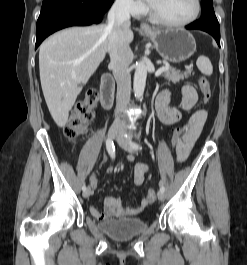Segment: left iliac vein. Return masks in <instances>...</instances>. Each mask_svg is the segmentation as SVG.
Listing matches in <instances>:
<instances>
[{"mask_svg": "<svg viewBox=\"0 0 247 265\" xmlns=\"http://www.w3.org/2000/svg\"><path fill=\"white\" fill-rule=\"evenodd\" d=\"M118 144L127 152L133 153L135 152L134 148L131 146V141L130 139L126 138L124 135L119 134L117 137ZM158 199L160 201H164L165 199V194L162 191L158 192Z\"/></svg>", "mask_w": 247, "mask_h": 265, "instance_id": "1", "label": "left iliac vein"}]
</instances>
